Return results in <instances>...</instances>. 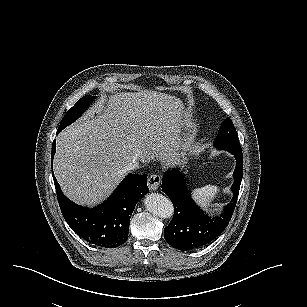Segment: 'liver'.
<instances>
[{"label":"liver","mask_w":307,"mask_h":307,"mask_svg":"<svg viewBox=\"0 0 307 307\" xmlns=\"http://www.w3.org/2000/svg\"><path fill=\"white\" fill-rule=\"evenodd\" d=\"M190 124L191 113L172 95L147 89L102 95L56 137L54 175L67 198L93 207L113 192L130 163L179 161L180 133Z\"/></svg>","instance_id":"liver-1"}]
</instances>
